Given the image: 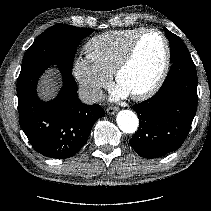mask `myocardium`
I'll use <instances>...</instances> for the list:
<instances>
[{
	"label": "myocardium",
	"mask_w": 211,
	"mask_h": 211,
	"mask_svg": "<svg viewBox=\"0 0 211 211\" xmlns=\"http://www.w3.org/2000/svg\"><path fill=\"white\" fill-rule=\"evenodd\" d=\"M157 33L164 44V61H163V65L162 68L160 70L159 75L157 76L156 80L154 81V83L148 87L147 89H145L142 92L136 93V94H131V97L135 100H147L150 97H152L153 95H155L159 89L162 87L168 73H169V69H170V63H171V49H170V44L169 41L166 37V35L159 29L157 28H144L143 30H141L133 39V41L131 42L128 50L126 51V53L124 54V56L121 58V60L118 62V64L116 65L114 71H113V79L116 83H118L119 77L121 76V74L129 67V65L133 62L136 54H137V50L139 47V44L141 42V39L148 33Z\"/></svg>",
	"instance_id": "f54148a6"
}]
</instances>
